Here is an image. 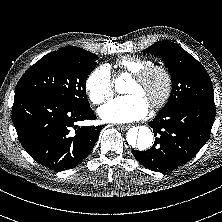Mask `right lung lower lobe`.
Wrapping results in <instances>:
<instances>
[{"label": "right lung lower lobe", "mask_w": 222, "mask_h": 222, "mask_svg": "<svg viewBox=\"0 0 222 222\" xmlns=\"http://www.w3.org/2000/svg\"><path fill=\"white\" fill-rule=\"evenodd\" d=\"M94 119L90 106L40 94L14 96L12 121L21 145L35 161L54 171L75 167L92 151L102 126L76 123Z\"/></svg>", "instance_id": "1"}]
</instances>
